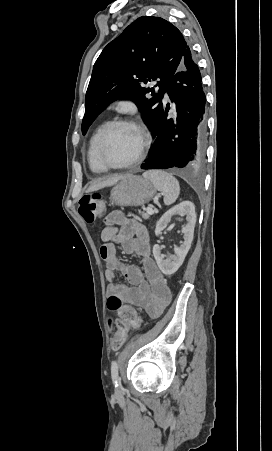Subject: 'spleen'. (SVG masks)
Listing matches in <instances>:
<instances>
[{"label":"spleen","instance_id":"1","mask_svg":"<svg viewBox=\"0 0 272 451\" xmlns=\"http://www.w3.org/2000/svg\"><path fill=\"white\" fill-rule=\"evenodd\" d=\"M142 176L146 180H151L154 188L158 192H162L165 206H170V204L176 202L180 194V186L173 174H167V172H162V170H149V172H144Z\"/></svg>","mask_w":272,"mask_h":451}]
</instances>
